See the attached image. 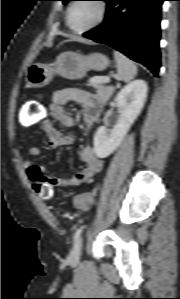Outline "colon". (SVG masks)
<instances>
[{
	"label": "colon",
	"instance_id": "5ec220e1",
	"mask_svg": "<svg viewBox=\"0 0 180 299\" xmlns=\"http://www.w3.org/2000/svg\"><path fill=\"white\" fill-rule=\"evenodd\" d=\"M91 1V0H86ZM47 117V110L43 104L30 102L26 105L24 121L32 124L43 121ZM34 191L43 199L49 200L53 197V184L50 182H35ZM75 206L79 209H87L90 206L91 198L87 194H82L74 200Z\"/></svg>",
	"mask_w": 180,
	"mask_h": 299
}]
</instances>
